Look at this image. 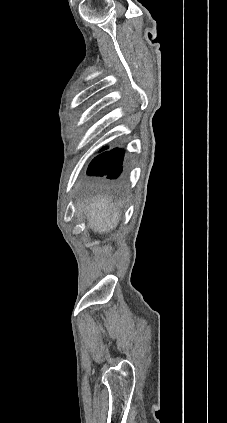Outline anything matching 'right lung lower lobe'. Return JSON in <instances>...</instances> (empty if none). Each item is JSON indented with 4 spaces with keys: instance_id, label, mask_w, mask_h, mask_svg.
Returning a JSON list of instances; mask_svg holds the SVG:
<instances>
[{
    "instance_id": "98d812e1",
    "label": "right lung lower lobe",
    "mask_w": 227,
    "mask_h": 423,
    "mask_svg": "<svg viewBox=\"0 0 227 423\" xmlns=\"http://www.w3.org/2000/svg\"><path fill=\"white\" fill-rule=\"evenodd\" d=\"M123 150L113 149L95 157L90 163L87 174L90 176L108 175L117 178L122 172Z\"/></svg>"
}]
</instances>
